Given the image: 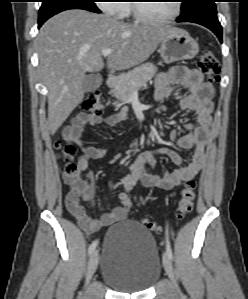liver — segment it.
<instances>
[{
	"label": "liver",
	"instance_id": "obj_1",
	"mask_svg": "<svg viewBox=\"0 0 248 299\" xmlns=\"http://www.w3.org/2000/svg\"><path fill=\"white\" fill-rule=\"evenodd\" d=\"M172 29L129 24L81 9L61 12L44 23L37 37L39 71L48 89V124L54 135L84 97L86 72L107 66L124 70L146 61Z\"/></svg>",
	"mask_w": 248,
	"mask_h": 299
}]
</instances>
